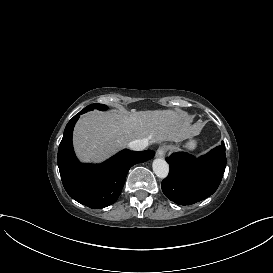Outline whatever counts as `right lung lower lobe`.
Listing matches in <instances>:
<instances>
[{"label": "right lung lower lobe", "mask_w": 273, "mask_h": 273, "mask_svg": "<svg viewBox=\"0 0 273 273\" xmlns=\"http://www.w3.org/2000/svg\"><path fill=\"white\" fill-rule=\"evenodd\" d=\"M81 111L66 125L58 148V167L71 198L92 209L113 204L119 197L129 169L154 157L155 152L123 150L102 164H82L75 157L72 132Z\"/></svg>", "instance_id": "98d812e1"}]
</instances>
